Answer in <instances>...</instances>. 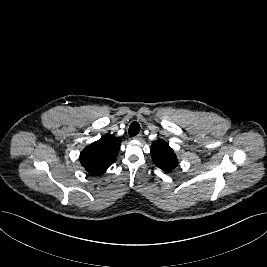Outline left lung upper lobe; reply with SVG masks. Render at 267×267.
<instances>
[{"mask_svg":"<svg viewBox=\"0 0 267 267\" xmlns=\"http://www.w3.org/2000/svg\"><path fill=\"white\" fill-rule=\"evenodd\" d=\"M151 156L154 164L169 172L178 165V159L173 149L164 140H157L151 145Z\"/></svg>","mask_w":267,"mask_h":267,"instance_id":"1","label":"left lung upper lobe"}]
</instances>
